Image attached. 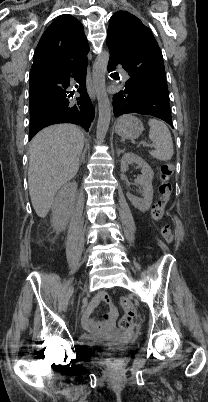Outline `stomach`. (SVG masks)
<instances>
[{
	"label": "stomach",
	"mask_w": 208,
	"mask_h": 402,
	"mask_svg": "<svg viewBox=\"0 0 208 402\" xmlns=\"http://www.w3.org/2000/svg\"><path fill=\"white\" fill-rule=\"evenodd\" d=\"M143 130L142 122L138 118H135V116H131V114L121 116L115 126L116 134L122 136V138H126V140H136V138L141 136Z\"/></svg>",
	"instance_id": "1"
}]
</instances>
